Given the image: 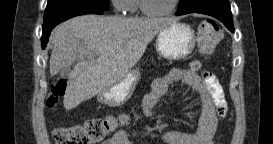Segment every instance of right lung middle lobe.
I'll return each mask as SVG.
<instances>
[{
	"instance_id": "dd1d6c3e",
	"label": "right lung middle lobe",
	"mask_w": 273,
	"mask_h": 144,
	"mask_svg": "<svg viewBox=\"0 0 273 144\" xmlns=\"http://www.w3.org/2000/svg\"><path fill=\"white\" fill-rule=\"evenodd\" d=\"M76 6H95L109 9V0H48L44 13V23L58 10Z\"/></svg>"
}]
</instances>
